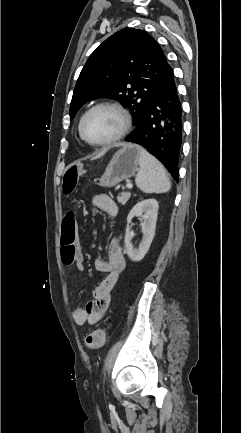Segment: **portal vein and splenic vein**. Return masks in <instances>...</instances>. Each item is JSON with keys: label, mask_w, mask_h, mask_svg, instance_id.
I'll return each instance as SVG.
<instances>
[{"label": "portal vein and splenic vein", "mask_w": 241, "mask_h": 433, "mask_svg": "<svg viewBox=\"0 0 241 433\" xmlns=\"http://www.w3.org/2000/svg\"><path fill=\"white\" fill-rule=\"evenodd\" d=\"M126 187H127L128 189H131V188L133 187V185L130 184V183H127Z\"/></svg>", "instance_id": "obj_1"}]
</instances>
